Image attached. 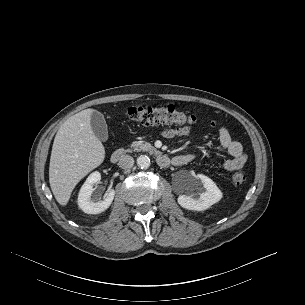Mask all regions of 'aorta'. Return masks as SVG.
Masks as SVG:
<instances>
[{"mask_svg": "<svg viewBox=\"0 0 305 305\" xmlns=\"http://www.w3.org/2000/svg\"><path fill=\"white\" fill-rule=\"evenodd\" d=\"M137 165L142 169H147L150 166V158L146 155H140L137 158Z\"/></svg>", "mask_w": 305, "mask_h": 305, "instance_id": "762f6f07", "label": "aorta"}]
</instances>
